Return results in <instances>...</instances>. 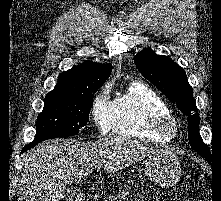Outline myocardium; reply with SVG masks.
Returning <instances> with one entry per match:
<instances>
[{
    "label": "myocardium",
    "mask_w": 221,
    "mask_h": 201,
    "mask_svg": "<svg viewBox=\"0 0 221 201\" xmlns=\"http://www.w3.org/2000/svg\"><path fill=\"white\" fill-rule=\"evenodd\" d=\"M150 127L152 131L171 139L179 133V123L170 113L154 117L151 120Z\"/></svg>",
    "instance_id": "obj_1"
}]
</instances>
